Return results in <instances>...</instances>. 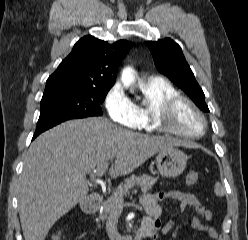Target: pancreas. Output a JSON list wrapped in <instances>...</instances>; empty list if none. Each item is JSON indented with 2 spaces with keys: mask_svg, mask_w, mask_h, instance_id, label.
Segmentation results:
<instances>
[{
  "mask_svg": "<svg viewBox=\"0 0 248 240\" xmlns=\"http://www.w3.org/2000/svg\"><path fill=\"white\" fill-rule=\"evenodd\" d=\"M156 181V178L146 174L139 176L132 175L130 178H127L124 183H121L113 194L104 202L103 209L99 215V220H106L116 210V208L123 203V197L129 193V190L133 186L137 185L143 192H147L152 188Z\"/></svg>",
  "mask_w": 248,
  "mask_h": 240,
  "instance_id": "1",
  "label": "pancreas"
}]
</instances>
